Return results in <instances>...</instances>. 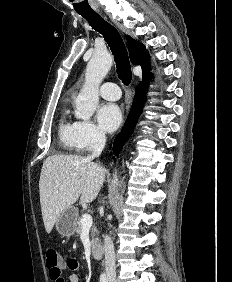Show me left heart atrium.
<instances>
[{
  "instance_id": "39dd6f15",
  "label": "left heart atrium",
  "mask_w": 232,
  "mask_h": 282,
  "mask_svg": "<svg viewBox=\"0 0 232 282\" xmlns=\"http://www.w3.org/2000/svg\"><path fill=\"white\" fill-rule=\"evenodd\" d=\"M97 120L100 127L107 131H115L122 121L120 108L114 103L103 104L97 112Z\"/></svg>"
}]
</instances>
